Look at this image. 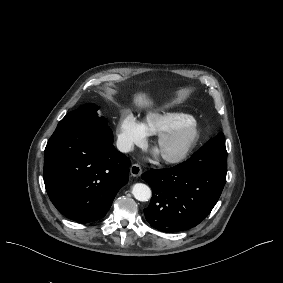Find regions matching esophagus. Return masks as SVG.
<instances>
[{
	"instance_id": "34e87169",
	"label": "esophagus",
	"mask_w": 283,
	"mask_h": 283,
	"mask_svg": "<svg viewBox=\"0 0 283 283\" xmlns=\"http://www.w3.org/2000/svg\"><path fill=\"white\" fill-rule=\"evenodd\" d=\"M130 173H131V175L134 176V177L140 176L141 173H142V168H141V166L138 165V164H133V165H131V167H130Z\"/></svg>"
}]
</instances>
